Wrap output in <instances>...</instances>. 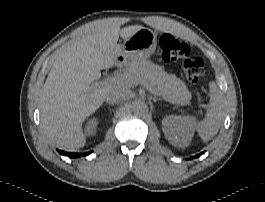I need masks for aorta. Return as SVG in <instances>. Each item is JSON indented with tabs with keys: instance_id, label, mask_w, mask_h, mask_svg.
<instances>
[{
	"instance_id": "1",
	"label": "aorta",
	"mask_w": 265,
	"mask_h": 202,
	"mask_svg": "<svg viewBox=\"0 0 265 202\" xmlns=\"http://www.w3.org/2000/svg\"><path fill=\"white\" fill-rule=\"evenodd\" d=\"M132 111L136 114H146L148 112V106L143 101H136L132 104Z\"/></svg>"
}]
</instances>
